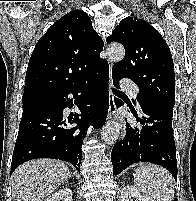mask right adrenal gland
<instances>
[{"mask_svg":"<svg viewBox=\"0 0 196 201\" xmlns=\"http://www.w3.org/2000/svg\"><path fill=\"white\" fill-rule=\"evenodd\" d=\"M69 177H72V175H71V174H69Z\"/></svg>","mask_w":196,"mask_h":201,"instance_id":"right-adrenal-gland-1","label":"right adrenal gland"}]
</instances>
